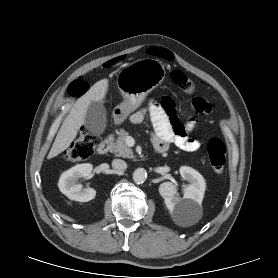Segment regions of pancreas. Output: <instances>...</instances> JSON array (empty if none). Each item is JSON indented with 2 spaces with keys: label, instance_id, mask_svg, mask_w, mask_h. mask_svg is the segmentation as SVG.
I'll list each match as a JSON object with an SVG mask.
<instances>
[{
  "label": "pancreas",
  "instance_id": "1",
  "mask_svg": "<svg viewBox=\"0 0 278 278\" xmlns=\"http://www.w3.org/2000/svg\"><path fill=\"white\" fill-rule=\"evenodd\" d=\"M128 135L129 133L123 129H121L118 132V138L113 147V152L115 153L116 156L124 157V158H133L132 149L128 147L127 144L125 143V139Z\"/></svg>",
  "mask_w": 278,
  "mask_h": 278
}]
</instances>
